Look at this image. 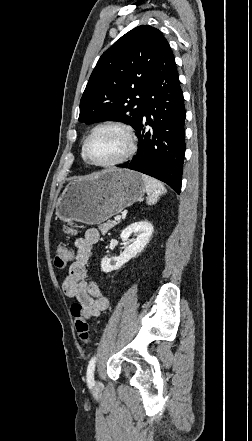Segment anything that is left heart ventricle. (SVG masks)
Segmentation results:
<instances>
[{"label":"left heart ventricle","mask_w":252,"mask_h":441,"mask_svg":"<svg viewBox=\"0 0 252 441\" xmlns=\"http://www.w3.org/2000/svg\"><path fill=\"white\" fill-rule=\"evenodd\" d=\"M126 148L127 141L120 130L103 128L90 139L87 153L93 161L106 163L119 158Z\"/></svg>","instance_id":"b2bd125f"}]
</instances>
